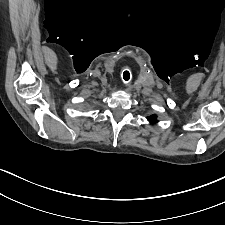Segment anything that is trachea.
<instances>
[{"instance_id":"obj_1","label":"trachea","mask_w":225,"mask_h":225,"mask_svg":"<svg viewBox=\"0 0 225 225\" xmlns=\"http://www.w3.org/2000/svg\"><path fill=\"white\" fill-rule=\"evenodd\" d=\"M127 73H129V72L128 71H124V73H123V79L125 81L129 80V78H130V74L127 76Z\"/></svg>"}]
</instances>
